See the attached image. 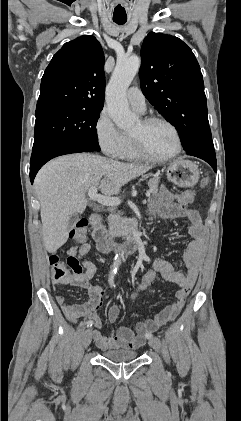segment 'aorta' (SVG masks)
Returning <instances> with one entry per match:
<instances>
[{"label":"aorta","mask_w":241,"mask_h":421,"mask_svg":"<svg viewBox=\"0 0 241 421\" xmlns=\"http://www.w3.org/2000/svg\"><path fill=\"white\" fill-rule=\"evenodd\" d=\"M138 57L119 60L115 66L111 79L106 88V102L108 112L120 129H129L138 120L129 109L126 91L140 68ZM120 257L116 255L114 266H119Z\"/></svg>","instance_id":"762f6f07"}]
</instances>
